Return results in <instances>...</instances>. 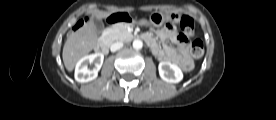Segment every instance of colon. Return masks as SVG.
Wrapping results in <instances>:
<instances>
[{"label": "colon", "mask_w": 276, "mask_h": 120, "mask_svg": "<svg viewBox=\"0 0 276 120\" xmlns=\"http://www.w3.org/2000/svg\"><path fill=\"white\" fill-rule=\"evenodd\" d=\"M126 15V16H130V17H132L133 18V16L132 15H130V14H125V13H123V12H121V11H114V12H112V13H108V14H106L105 15V17H103V18H100L99 20H98V27L100 28V29H103V30H105V29H108L109 27H104L103 26V21L104 20H108V19H110V18H113V17H115V16H117V15ZM92 17L91 16H89V15H87V16H80L79 18H78V20H76L75 22H70L69 24H68V29H69V31H70V33L71 34H76L77 33V31H79L81 28H83V27H87V26H89L90 25V23L92 22ZM133 20H134V18H133ZM134 22V21H133ZM116 27H119V28H121V27H129V26H127V25H124V26H122V25H120V24H117V25H115ZM180 29H181V32H182V35L184 36V37H188V36H192L193 34H194V32H195V24H194V20L191 18V17H189V16H183L181 19H180ZM190 53H191V55L194 57V58H196V59H200V58H202L203 57V55H204V44H203V42L201 41V40H199V39H197V40H194L193 42H192V44H191V47H190Z\"/></svg>", "instance_id": "1"}]
</instances>
